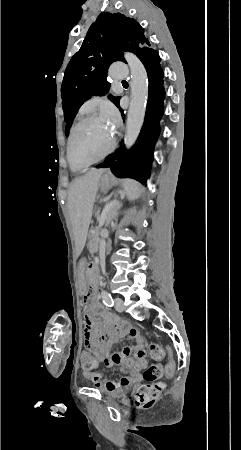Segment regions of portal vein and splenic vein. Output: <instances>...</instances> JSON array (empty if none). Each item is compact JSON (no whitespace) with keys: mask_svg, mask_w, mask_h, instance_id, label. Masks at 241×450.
<instances>
[{"mask_svg":"<svg viewBox=\"0 0 241 450\" xmlns=\"http://www.w3.org/2000/svg\"><path fill=\"white\" fill-rule=\"evenodd\" d=\"M121 205V204H120ZM114 208H115V205L114 204H106V208H103V211H102V217H100V219H99V222H98V225L99 226H102V225H104V222H105V218L107 217V216H109V214L110 213H113L114 212ZM99 229V228H98Z\"/></svg>","mask_w":241,"mask_h":450,"instance_id":"obj_1","label":"portal vein and splenic vein"}]
</instances>
